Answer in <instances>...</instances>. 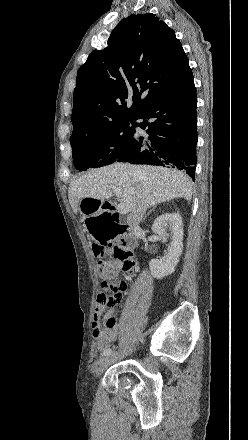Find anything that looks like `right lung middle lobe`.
<instances>
[{
    "label": "right lung middle lobe",
    "mask_w": 248,
    "mask_h": 440,
    "mask_svg": "<svg viewBox=\"0 0 248 440\" xmlns=\"http://www.w3.org/2000/svg\"><path fill=\"white\" fill-rule=\"evenodd\" d=\"M126 119L106 130L86 136H71L75 167L84 171L115 162L127 151L133 126Z\"/></svg>",
    "instance_id": "dd1d6c3e"
}]
</instances>
